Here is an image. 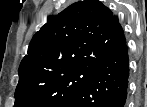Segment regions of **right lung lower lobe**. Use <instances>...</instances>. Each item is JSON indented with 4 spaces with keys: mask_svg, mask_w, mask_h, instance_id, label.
<instances>
[{
    "mask_svg": "<svg viewBox=\"0 0 147 107\" xmlns=\"http://www.w3.org/2000/svg\"><path fill=\"white\" fill-rule=\"evenodd\" d=\"M128 77V47L124 42L86 84L59 107H125Z\"/></svg>",
    "mask_w": 147,
    "mask_h": 107,
    "instance_id": "1",
    "label": "right lung lower lobe"
}]
</instances>
